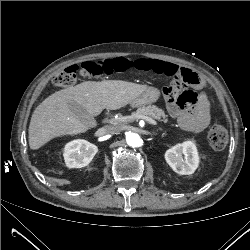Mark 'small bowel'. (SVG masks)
I'll return each instance as SVG.
<instances>
[{"instance_id": "c3829d8e", "label": "small bowel", "mask_w": 250, "mask_h": 250, "mask_svg": "<svg viewBox=\"0 0 250 250\" xmlns=\"http://www.w3.org/2000/svg\"><path fill=\"white\" fill-rule=\"evenodd\" d=\"M132 67L137 70L154 71L168 76H175L184 70L183 67L174 63L145 57L135 59ZM201 86L202 81L195 87L200 88ZM165 95L167 98L169 114L178 119V122L183 129L191 132H202L208 127L211 120L210 104L204 93L200 94L198 103L190 108L186 107L180 99H174L170 95L169 89L166 90Z\"/></svg>"}]
</instances>
